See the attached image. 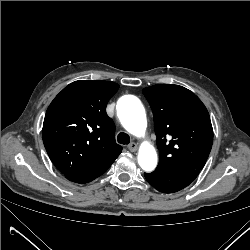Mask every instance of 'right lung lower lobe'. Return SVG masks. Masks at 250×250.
Masks as SVG:
<instances>
[{
    "instance_id": "1",
    "label": "right lung lower lobe",
    "mask_w": 250,
    "mask_h": 250,
    "mask_svg": "<svg viewBox=\"0 0 250 250\" xmlns=\"http://www.w3.org/2000/svg\"><path fill=\"white\" fill-rule=\"evenodd\" d=\"M112 163L113 162L95 171L87 172V173L80 174V175H71V176H67L66 178L70 181L80 183V184L88 183L94 180L95 178H97L98 176L102 175L104 172H106Z\"/></svg>"
}]
</instances>
